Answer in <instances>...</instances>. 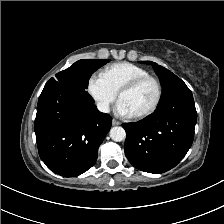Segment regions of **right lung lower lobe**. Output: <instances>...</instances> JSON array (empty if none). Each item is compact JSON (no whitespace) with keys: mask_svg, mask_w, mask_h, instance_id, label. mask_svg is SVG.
Masks as SVG:
<instances>
[{"mask_svg":"<svg viewBox=\"0 0 224 224\" xmlns=\"http://www.w3.org/2000/svg\"><path fill=\"white\" fill-rule=\"evenodd\" d=\"M112 123L92 97L65 85L46 84L37 105L35 134L41 160L54 173L78 176L96 162Z\"/></svg>","mask_w":224,"mask_h":224,"instance_id":"obj_1","label":"right lung lower lobe"}]
</instances>
